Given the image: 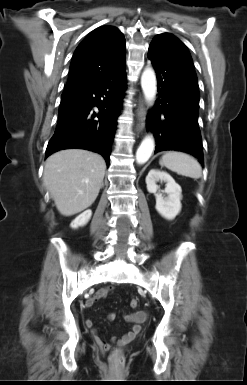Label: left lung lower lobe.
<instances>
[{"label": "left lung lower lobe", "instance_id": "obj_1", "mask_svg": "<svg viewBox=\"0 0 247 385\" xmlns=\"http://www.w3.org/2000/svg\"><path fill=\"white\" fill-rule=\"evenodd\" d=\"M156 71L158 101L148 115L153 130L155 153L164 150L192 154L203 165L201 133L198 125L199 88L193 63L168 34L156 36L148 50Z\"/></svg>", "mask_w": 247, "mask_h": 385}]
</instances>
